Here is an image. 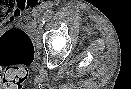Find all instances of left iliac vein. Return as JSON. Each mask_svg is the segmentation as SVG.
Listing matches in <instances>:
<instances>
[{
  "label": "left iliac vein",
  "mask_w": 131,
  "mask_h": 89,
  "mask_svg": "<svg viewBox=\"0 0 131 89\" xmlns=\"http://www.w3.org/2000/svg\"><path fill=\"white\" fill-rule=\"evenodd\" d=\"M38 30H39V31H41V30H42V25H40V26L38 27Z\"/></svg>",
  "instance_id": "left-iliac-vein-1"
}]
</instances>
